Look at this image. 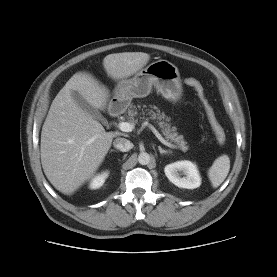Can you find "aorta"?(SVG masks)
I'll list each match as a JSON object with an SVG mask.
<instances>
[{
	"instance_id": "762f6f07",
	"label": "aorta",
	"mask_w": 277,
	"mask_h": 277,
	"mask_svg": "<svg viewBox=\"0 0 277 277\" xmlns=\"http://www.w3.org/2000/svg\"><path fill=\"white\" fill-rule=\"evenodd\" d=\"M138 162L141 165H147V164H149V162H150V155L147 152H141L138 155Z\"/></svg>"
}]
</instances>
